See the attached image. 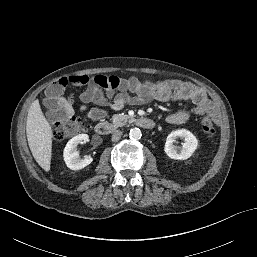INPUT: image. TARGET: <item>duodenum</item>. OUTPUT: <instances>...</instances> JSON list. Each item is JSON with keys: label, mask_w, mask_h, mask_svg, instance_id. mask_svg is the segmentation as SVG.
Wrapping results in <instances>:
<instances>
[{"label": "duodenum", "mask_w": 257, "mask_h": 257, "mask_svg": "<svg viewBox=\"0 0 257 257\" xmlns=\"http://www.w3.org/2000/svg\"><path fill=\"white\" fill-rule=\"evenodd\" d=\"M135 124L144 129H152L155 126L153 120L146 117H139L135 119ZM115 126L108 121H100L95 126V131L99 135H107L114 130Z\"/></svg>", "instance_id": "obj_1"}]
</instances>
